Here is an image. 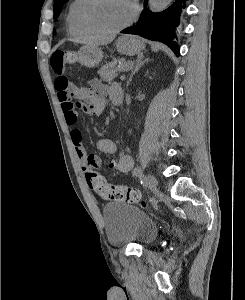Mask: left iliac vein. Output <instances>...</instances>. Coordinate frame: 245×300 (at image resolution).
I'll use <instances>...</instances> for the list:
<instances>
[{
  "mask_svg": "<svg viewBox=\"0 0 245 300\" xmlns=\"http://www.w3.org/2000/svg\"><path fill=\"white\" fill-rule=\"evenodd\" d=\"M146 183H147L148 187L151 189V191L155 192L157 190L158 181L153 175H151V174L147 175Z\"/></svg>",
  "mask_w": 245,
  "mask_h": 300,
  "instance_id": "left-iliac-vein-1",
  "label": "left iliac vein"
}]
</instances>
